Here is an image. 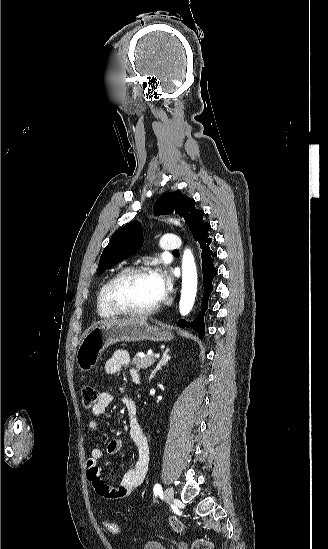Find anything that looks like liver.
Segmentation results:
<instances>
[{
  "label": "liver",
  "mask_w": 328,
  "mask_h": 549,
  "mask_svg": "<svg viewBox=\"0 0 328 549\" xmlns=\"http://www.w3.org/2000/svg\"><path fill=\"white\" fill-rule=\"evenodd\" d=\"M111 323H130V319H109V321H100L101 327L111 325Z\"/></svg>",
  "instance_id": "obj_1"
}]
</instances>
